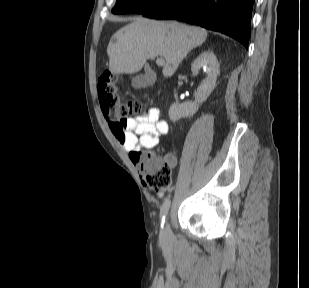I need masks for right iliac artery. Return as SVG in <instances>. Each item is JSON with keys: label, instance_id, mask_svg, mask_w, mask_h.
Returning <instances> with one entry per match:
<instances>
[{"label": "right iliac artery", "instance_id": "obj_1", "mask_svg": "<svg viewBox=\"0 0 309 288\" xmlns=\"http://www.w3.org/2000/svg\"><path fill=\"white\" fill-rule=\"evenodd\" d=\"M170 208V200L166 199L162 205L161 211H160V217L162 218V227H163V223L165 221V216L168 213Z\"/></svg>", "mask_w": 309, "mask_h": 288}]
</instances>
